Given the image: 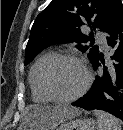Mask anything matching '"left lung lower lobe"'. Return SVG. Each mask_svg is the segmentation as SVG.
I'll return each mask as SVG.
<instances>
[{
	"label": "left lung lower lobe",
	"mask_w": 123,
	"mask_h": 130,
	"mask_svg": "<svg viewBox=\"0 0 123 130\" xmlns=\"http://www.w3.org/2000/svg\"><path fill=\"white\" fill-rule=\"evenodd\" d=\"M107 43L113 49L112 61L105 64L98 54L91 63L95 70L102 67L103 73L96 76L84 98L72 105L86 110H104L123 120V11L108 34Z\"/></svg>",
	"instance_id": "left-lung-lower-lobe-1"
}]
</instances>
